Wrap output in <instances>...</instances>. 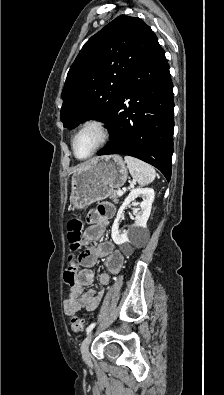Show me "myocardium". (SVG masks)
<instances>
[{
	"label": "myocardium",
	"mask_w": 224,
	"mask_h": 395,
	"mask_svg": "<svg viewBox=\"0 0 224 395\" xmlns=\"http://www.w3.org/2000/svg\"><path fill=\"white\" fill-rule=\"evenodd\" d=\"M88 129L96 130L99 138H98L97 144L95 145L93 151L88 156H86L84 158H79L75 153V141H76V138L82 132H84ZM109 136H110L109 127L103 120L98 119V118H89V119L83 121L80 124V126L78 127V129L76 130V132L74 133L72 140H71V148H72L74 157L78 160H87V159L91 158L106 144V142L109 139Z\"/></svg>",
	"instance_id": "myocardium-1"
}]
</instances>
